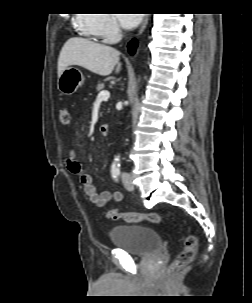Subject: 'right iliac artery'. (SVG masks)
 Returning <instances> with one entry per match:
<instances>
[{
    "label": "right iliac artery",
    "mask_w": 252,
    "mask_h": 303,
    "mask_svg": "<svg viewBox=\"0 0 252 303\" xmlns=\"http://www.w3.org/2000/svg\"><path fill=\"white\" fill-rule=\"evenodd\" d=\"M111 175L115 181H118L120 175V168L118 165H112Z\"/></svg>",
    "instance_id": "1"
}]
</instances>
